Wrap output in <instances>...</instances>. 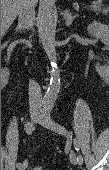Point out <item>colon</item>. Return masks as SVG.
<instances>
[{"instance_id": "5ec220e1", "label": "colon", "mask_w": 109, "mask_h": 170, "mask_svg": "<svg viewBox=\"0 0 109 170\" xmlns=\"http://www.w3.org/2000/svg\"><path fill=\"white\" fill-rule=\"evenodd\" d=\"M33 170H45V169L41 166H36V167L33 168Z\"/></svg>"}]
</instances>
